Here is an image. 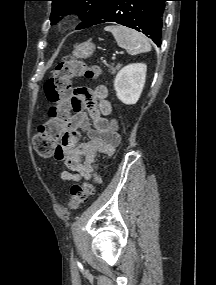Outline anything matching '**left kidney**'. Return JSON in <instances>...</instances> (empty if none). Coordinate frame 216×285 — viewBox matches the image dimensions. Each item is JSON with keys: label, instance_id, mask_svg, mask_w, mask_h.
<instances>
[{"label": "left kidney", "instance_id": "left-kidney-1", "mask_svg": "<svg viewBox=\"0 0 216 285\" xmlns=\"http://www.w3.org/2000/svg\"><path fill=\"white\" fill-rule=\"evenodd\" d=\"M147 66L143 63L129 64L116 75L114 88L117 98L127 105L135 104L143 91Z\"/></svg>", "mask_w": 216, "mask_h": 285}]
</instances>
